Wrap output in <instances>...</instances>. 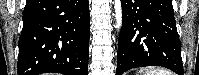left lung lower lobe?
I'll return each instance as SVG.
<instances>
[{
	"mask_svg": "<svg viewBox=\"0 0 199 75\" xmlns=\"http://www.w3.org/2000/svg\"><path fill=\"white\" fill-rule=\"evenodd\" d=\"M121 5L117 75L143 66H162L183 75L172 1L121 0Z\"/></svg>",
	"mask_w": 199,
	"mask_h": 75,
	"instance_id": "0a47b994",
	"label": "left lung lower lobe"
}]
</instances>
